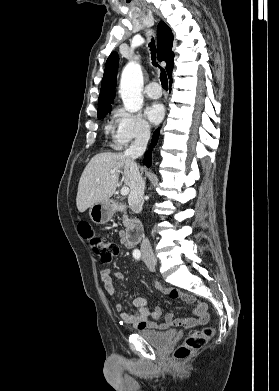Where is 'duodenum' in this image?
Segmentation results:
<instances>
[{"mask_svg": "<svg viewBox=\"0 0 279 391\" xmlns=\"http://www.w3.org/2000/svg\"><path fill=\"white\" fill-rule=\"evenodd\" d=\"M110 206L113 210L124 209V205L117 202H111ZM143 234V226L140 221L133 219L130 221L126 235L127 242L130 247L138 244Z\"/></svg>", "mask_w": 279, "mask_h": 391, "instance_id": "410a0bca", "label": "duodenum"}]
</instances>
